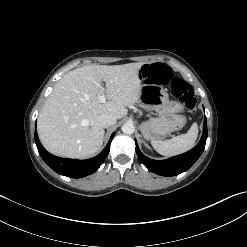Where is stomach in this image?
Returning a JSON list of instances; mask_svg holds the SVG:
<instances>
[{
    "label": "stomach",
    "instance_id": "1",
    "mask_svg": "<svg viewBox=\"0 0 247 247\" xmlns=\"http://www.w3.org/2000/svg\"><path fill=\"white\" fill-rule=\"evenodd\" d=\"M140 103L144 108L156 110L158 117L150 118L141 124V131L146 139L165 136L178 131L186 124L184 106L169 95L161 85L143 84L140 92Z\"/></svg>",
    "mask_w": 247,
    "mask_h": 247
}]
</instances>
